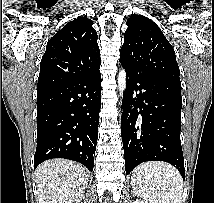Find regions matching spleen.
I'll return each instance as SVG.
<instances>
[{
    "label": "spleen",
    "instance_id": "1",
    "mask_svg": "<svg viewBox=\"0 0 214 203\" xmlns=\"http://www.w3.org/2000/svg\"><path fill=\"white\" fill-rule=\"evenodd\" d=\"M134 193L148 203H181L183 181L170 164L148 162L135 168L131 176Z\"/></svg>",
    "mask_w": 214,
    "mask_h": 203
}]
</instances>
